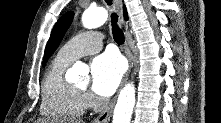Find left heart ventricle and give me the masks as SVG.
<instances>
[{
	"instance_id": "b2bd125f",
	"label": "left heart ventricle",
	"mask_w": 221,
	"mask_h": 123,
	"mask_svg": "<svg viewBox=\"0 0 221 123\" xmlns=\"http://www.w3.org/2000/svg\"><path fill=\"white\" fill-rule=\"evenodd\" d=\"M87 86H88V80L87 79L78 84V87L82 88V89L87 88Z\"/></svg>"
}]
</instances>
